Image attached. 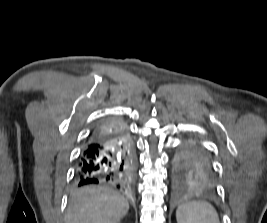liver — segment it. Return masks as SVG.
I'll list each match as a JSON object with an SVG mask.
<instances>
[{"instance_id":"obj_1","label":"liver","mask_w":267,"mask_h":223,"mask_svg":"<svg viewBox=\"0 0 267 223\" xmlns=\"http://www.w3.org/2000/svg\"><path fill=\"white\" fill-rule=\"evenodd\" d=\"M128 210L127 200L112 189L85 186L73 194L65 223H118Z\"/></svg>"}]
</instances>
